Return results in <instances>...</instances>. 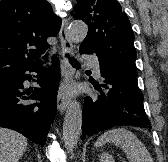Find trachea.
<instances>
[{
	"label": "trachea",
	"mask_w": 168,
	"mask_h": 162,
	"mask_svg": "<svg viewBox=\"0 0 168 162\" xmlns=\"http://www.w3.org/2000/svg\"><path fill=\"white\" fill-rule=\"evenodd\" d=\"M66 56L69 57V61L72 64V66H74V67H79L80 66V64L74 58L70 57L69 54H66Z\"/></svg>",
	"instance_id": "obj_1"
}]
</instances>
